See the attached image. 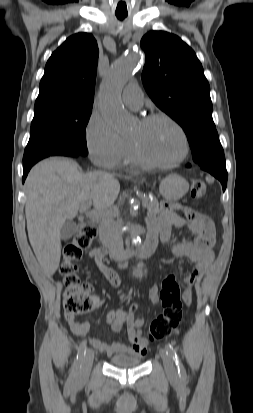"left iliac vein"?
<instances>
[{"label": "left iliac vein", "mask_w": 253, "mask_h": 413, "mask_svg": "<svg viewBox=\"0 0 253 413\" xmlns=\"http://www.w3.org/2000/svg\"><path fill=\"white\" fill-rule=\"evenodd\" d=\"M159 352L163 360V364H164L167 376L171 379L177 378V371H176L173 359L171 355L168 353L167 349L161 348Z\"/></svg>", "instance_id": "obj_1"}]
</instances>
